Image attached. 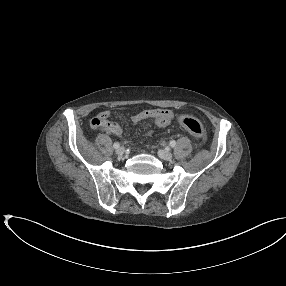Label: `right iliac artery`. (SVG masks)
<instances>
[{
    "instance_id": "right-iliac-artery-1",
    "label": "right iliac artery",
    "mask_w": 286,
    "mask_h": 286,
    "mask_svg": "<svg viewBox=\"0 0 286 286\" xmlns=\"http://www.w3.org/2000/svg\"><path fill=\"white\" fill-rule=\"evenodd\" d=\"M119 146H120V144L117 143V142H115V143L113 144V147H114L115 149L119 148Z\"/></svg>"
}]
</instances>
